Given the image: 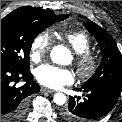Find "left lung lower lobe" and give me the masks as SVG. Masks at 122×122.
<instances>
[{"label": "left lung lower lobe", "instance_id": "0a47b994", "mask_svg": "<svg viewBox=\"0 0 122 122\" xmlns=\"http://www.w3.org/2000/svg\"><path fill=\"white\" fill-rule=\"evenodd\" d=\"M75 90L88 94L84 100L69 96L68 107L62 112V116L70 122H88L101 118L113 108L121 94L122 86L110 84Z\"/></svg>", "mask_w": 122, "mask_h": 122}]
</instances>
